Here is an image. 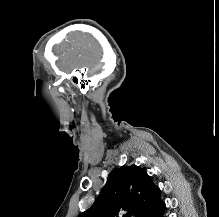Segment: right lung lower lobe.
I'll return each instance as SVG.
<instances>
[{"mask_svg":"<svg viewBox=\"0 0 219 217\" xmlns=\"http://www.w3.org/2000/svg\"><path fill=\"white\" fill-rule=\"evenodd\" d=\"M158 217H162V213L160 215H158Z\"/></svg>","mask_w":219,"mask_h":217,"instance_id":"1","label":"right lung lower lobe"}]
</instances>
